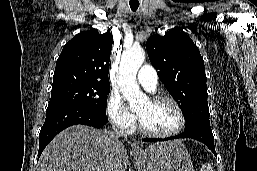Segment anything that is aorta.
<instances>
[{"label":"aorta","instance_id":"aorta-1","mask_svg":"<svg viewBox=\"0 0 257 171\" xmlns=\"http://www.w3.org/2000/svg\"><path fill=\"white\" fill-rule=\"evenodd\" d=\"M145 59V52L141 47H132L122 54L118 86L123 96L129 102L130 108H136L147 100L140 91L136 75Z\"/></svg>","mask_w":257,"mask_h":171}]
</instances>
